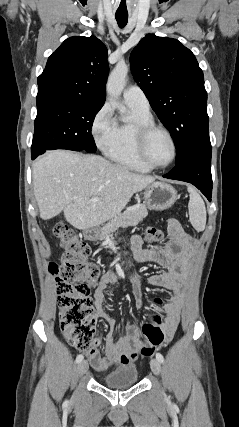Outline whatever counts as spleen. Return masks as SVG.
Segmentation results:
<instances>
[{"label":"spleen","instance_id":"3e777b00","mask_svg":"<svg viewBox=\"0 0 239 427\" xmlns=\"http://www.w3.org/2000/svg\"><path fill=\"white\" fill-rule=\"evenodd\" d=\"M188 192L190 193L188 204L190 222L196 231H203L206 226V208L204 201L198 192L190 186H188Z\"/></svg>","mask_w":239,"mask_h":427}]
</instances>
